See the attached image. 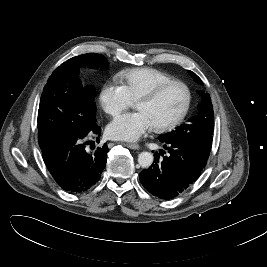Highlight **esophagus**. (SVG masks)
<instances>
[{
  "label": "esophagus",
  "instance_id": "34e87169",
  "mask_svg": "<svg viewBox=\"0 0 267 267\" xmlns=\"http://www.w3.org/2000/svg\"><path fill=\"white\" fill-rule=\"evenodd\" d=\"M126 147L130 148V149H134V150H138L140 148V146L138 144H130V143H125L124 144Z\"/></svg>",
  "mask_w": 267,
  "mask_h": 267
}]
</instances>
